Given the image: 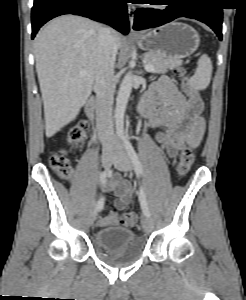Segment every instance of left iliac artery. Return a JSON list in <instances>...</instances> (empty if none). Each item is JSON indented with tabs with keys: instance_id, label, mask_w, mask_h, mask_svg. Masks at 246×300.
<instances>
[{
	"instance_id": "1",
	"label": "left iliac artery",
	"mask_w": 246,
	"mask_h": 300,
	"mask_svg": "<svg viewBox=\"0 0 246 300\" xmlns=\"http://www.w3.org/2000/svg\"><path fill=\"white\" fill-rule=\"evenodd\" d=\"M124 146H125V149L134 165L135 172L137 174H139L140 176H143V174H144L143 166L137 156L136 151L134 150V147L132 146V144L130 143V141L128 139H124ZM138 197H139V202H140V205H141L144 215L147 217H150V211H149L148 203H147V199H146L145 188L143 185H141V187H140Z\"/></svg>"
}]
</instances>
